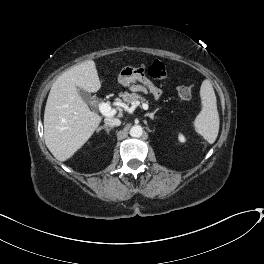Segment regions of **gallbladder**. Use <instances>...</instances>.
<instances>
[{
  "mask_svg": "<svg viewBox=\"0 0 264 264\" xmlns=\"http://www.w3.org/2000/svg\"><path fill=\"white\" fill-rule=\"evenodd\" d=\"M78 93L80 94V96L82 97V99L88 103V104H91L92 102V97L91 95L86 92L85 90L81 89V88H78Z\"/></svg>",
  "mask_w": 264,
  "mask_h": 264,
  "instance_id": "1",
  "label": "gallbladder"
}]
</instances>
